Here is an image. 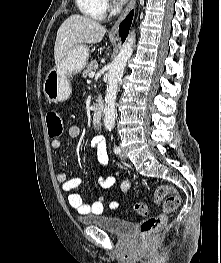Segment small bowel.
<instances>
[{
    "mask_svg": "<svg viewBox=\"0 0 221 263\" xmlns=\"http://www.w3.org/2000/svg\"><path fill=\"white\" fill-rule=\"evenodd\" d=\"M68 136L77 138L80 135V128L77 125H71L67 130ZM51 148L57 151L61 148V142L57 139L51 142ZM91 148L96 155V159L101 168H104L109 162V155L104 138L101 135H95L91 139ZM119 172L116 171L112 176L105 175L104 172L98 174L97 182L101 188L108 189L112 187L116 181ZM57 181L61 184L63 192L67 194V200L72 208H75L79 214H101L104 210V198L99 197L98 200L91 204L84 203L82 196L74 190L82 183L80 178H69L65 173L57 175ZM130 187V181L125 180L122 182L121 189L127 191ZM118 202L116 200L110 201L111 208H117Z\"/></svg>",
    "mask_w": 221,
    "mask_h": 263,
    "instance_id": "1",
    "label": "small bowel"
}]
</instances>
